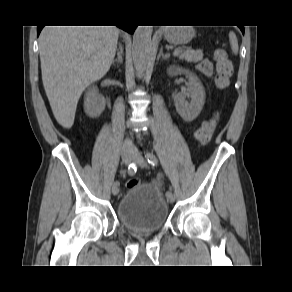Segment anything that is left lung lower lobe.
I'll list each match as a JSON object with an SVG mask.
<instances>
[{
    "label": "left lung lower lobe",
    "mask_w": 292,
    "mask_h": 292,
    "mask_svg": "<svg viewBox=\"0 0 292 292\" xmlns=\"http://www.w3.org/2000/svg\"><path fill=\"white\" fill-rule=\"evenodd\" d=\"M241 31L244 33V27L240 26Z\"/></svg>",
    "instance_id": "obj_1"
}]
</instances>
